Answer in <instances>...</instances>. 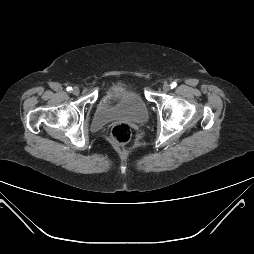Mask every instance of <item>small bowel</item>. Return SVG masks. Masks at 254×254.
<instances>
[{
  "label": "small bowel",
  "instance_id": "small-bowel-1",
  "mask_svg": "<svg viewBox=\"0 0 254 254\" xmlns=\"http://www.w3.org/2000/svg\"><path fill=\"white\" fill-rule=\"evenodd\" d=\"M116 91H117V90H116L115 88H110V89H109V92H110V93H115Z\"/></svg>",
  "mask_w": 254,
  "mask_h": 254
}]
</instances>
